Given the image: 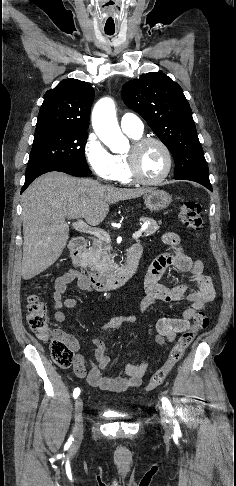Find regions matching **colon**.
I'll use <instances>...</instances> for the list:
<instances>
[{"label":"colon","instance_id":"colon-1","mask_svg":"<svg viewBox=\"0 0 236 486\" xmlns=\"http://www.w3.org/2000/svg\"><path fill=\"white\" fill-rule=\"evenodd\" d=\"M178 217L183 225L193 231H200L203 227L201 206L191 200L183 201L178 209ZM27 322L30 329L41 339L49 341L50 353L53 361L61 368H68L74 362L72 347L57 330L49 326L47 308L37 294L28 297ZM209 319L204 312H198L194 317L193 326L184 331L176 344L172 347L166 363L151 377L145 390L151 391L161 386L174 366L182 359L186 349L193 342L198 330L205 328Z\"/></svg>","mask_w":236,"mask_h":486}]
</instances>
